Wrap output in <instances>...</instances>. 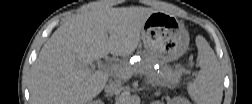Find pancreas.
Segmentation results:
<instances>
[{"mask_svg":"<svg viewBox=\"0 0 252 104\" xmlns=\"http://www.w3.org/2000/svg\"><path fill=\"white\" fill-rule=\"evenodd\" d=\"M154 65L155 61L153 59L150 58L149 61H146V57H143L140 62L133 66L121 63L119 67L132 70L134 74L145 75L152 83L160 86L173 87L179 82L182 75L179 70H172L168 65L161 64L159 73H157V71L154 70ZM119 78L124 79L122 77Z\"/></svg>","mask_w":252,"mask_h":104,"instance_id":"1","label":"pancreas"}]
</instances>
